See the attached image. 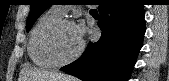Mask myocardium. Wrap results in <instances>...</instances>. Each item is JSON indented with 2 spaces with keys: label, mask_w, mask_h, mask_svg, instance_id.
<instances>
[{
  "label": "myocardium",
  "mask_w": 169,
  "mask_h": 81,
  "mask_svg": "<svg viewBox=\"0 0 169 81\" xmlns=\"http://www.w3.org/2000/svg\"><path fill=\"white\" fill-rule=\"evenodd\" d=\"M67 25L74 26L75 24L70 19L59 20L50 28L45 38V52L56 66H64L75 61L81 56L84 50V42L81 40L79 49L71 57L62 59L58 56L55 46L56 37L60 29Z\"/></svg>",
  "instance_id": "f54148a6"
}]
</instances>
